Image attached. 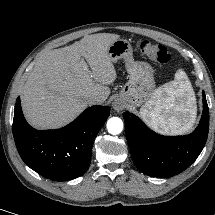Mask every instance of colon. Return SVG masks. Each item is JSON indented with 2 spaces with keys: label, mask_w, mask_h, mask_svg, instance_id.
Masks as SVG:
<instances>
[{
  "label": "colon",
  "mask_w": 215,
  "mask_h": 215,
  "mask_svg": "<svg viewBox=\"0 0 215 215\" xmlns=\"http://www.w3.org/2000/svg\"><path fill=\"white\" fill-rule=\"evenodd\" d=\"M136 48L140 53L160 64H166L171 59V53L165 46L148 40L138 41Z\"/></svg>",
  "instance_id": "obj_1"
}]
</instances>
